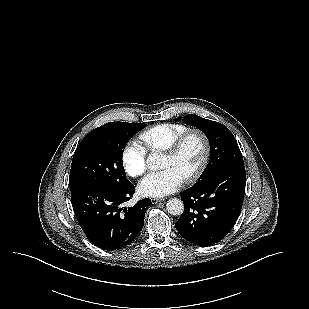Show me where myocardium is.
<instances>
[{"label": "myocardium", "instance_id": "obj_1", "mask_svg": "<svg viewBox=\"0 0 309 309\" xmlns=\"http://www.w3.org/2000/svg\"><path fill=\"white\" fill-rule=\"evenodd\" d=\"M194 135L198 136L202 140L204 152L197 169L183 179L185 183H192L196 181L203 174L209 163L211 156V144L208 136L200 129H189L177 137L176 140L164 151L165 155L175 157L180 152L188 138Z\"/></svg>", "mask_w": 309, "mask_h": 309}]
</instances>
